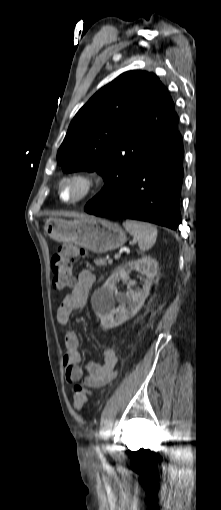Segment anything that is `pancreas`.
I'll list each match as a JSON object with an SVG mask.
<instances>
[{
    "mask_svg": "<svg viewBox=\"0 0 221 510\" xmlns=\"http://www.w3.org/2000/svg\"><path fill=\"white\" fill-rule=\"evenodd\" d=\"M94 263L97 265V266H106V259L104 258H100V259H95Z\"/></svg>",
    "mask_w": 221,
    "mask_h": 510,
    "instance_id": "cf45deb5",
    "label": "pancreas"
}]
</instances>
